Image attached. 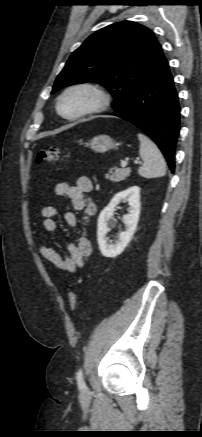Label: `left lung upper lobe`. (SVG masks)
<instances>
[{"label": "left lung upper lobe", "instance_id": "obj_1", "mask_svg": "<svg viewBox=\"0 0 202 437\" xmlns=\"http://www.w3.org/2000/svg\"><path fill=\"white\" fill-rule=\"evenodd\" d=\"M165 62L161 45L150 29L132 21L118 22L89 36L72 53L51 93L94 81L113 95L115 109L153 78Z\"/></svg>", "mask_w": 202, "mask_h": 437}]
</instances>
